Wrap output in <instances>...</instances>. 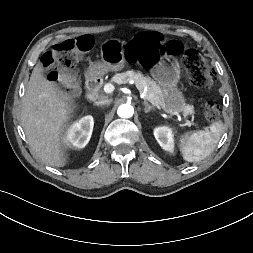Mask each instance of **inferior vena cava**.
<instances>
[{"mask_svg":"<svg viewBox=\"0 0 253 253\" xmlns=\"http://www.w3.org/2000/svg\"><path fill=\"white\" fill-rule=\"evenodd\" d=\"M111 102H112L111 99H102V100H99V101L95 102V104L97 106H103V105L110 104Z\"/></svg>","mask_w":253,"mask_h":253,"instance_id":"inferior-vena-cava-1","label":"inferior vena cava"}]
</instances>
